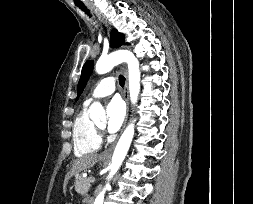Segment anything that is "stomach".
I'll use <instances>...</instances> for the list:
<instances>
[{
  "label": "stomach",
  "instance_id": "obj_1",
  "mask_svg": "<svg viewBox=\"0 0 253 204\" xmlns=\"http://www.w3.org/2000/svg\"><path fill=\"white\" fill-rule=\"evenodd\" d=\"M99 160L101 161V162H105L106 160L105 159H103V158H99Z\"/></svg>",
  "mask_w": 253,
  "mask_h": 204
}]
</instances>
